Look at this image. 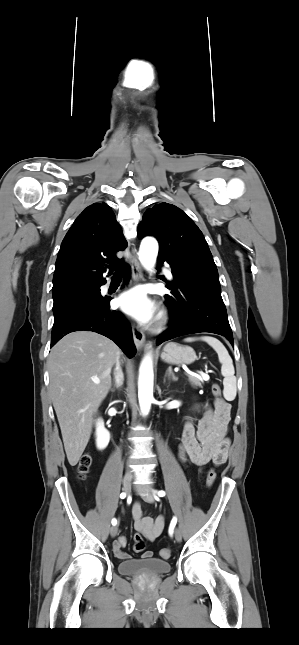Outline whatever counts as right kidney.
<instances>
[{"label": "right kidney", "instance_id": "1", "mask_svg": "<svg viewBox=\"0 0 299 645\" xmlns=\"http://www.w3.org/2000/svg\"><path fill=\"white\" fill-rule=\"evenodd\" d=\"M96 446L99 450H103L107 447L110 441V433L104 427V422L102 419L96 421Z\"/></svg>", "mask_w": 299, "mask_h": 645}]
</instances>
